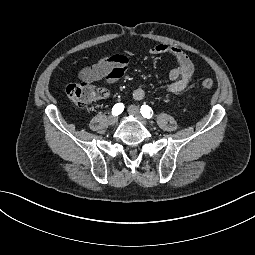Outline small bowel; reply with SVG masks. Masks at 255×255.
Here are the masks:
<instances>
[{"instance_id":"small-bowel-1","label":"small bowel","mask_w":255,"mask_h":255,"mask_svg":"<svg viewBox=\"0 0 255 255\" xmlns=\"http://www.w3.org/2000/svg\"><path fill=\"white\" fill-rule=\"evenodd\" d=\"M151 55L169 54L173 56L178 66L169 72L170 83L165 87L167 93L176 94L184 91L191 83L194 74V65L189 56L181 49L166 44H157L149 49ZM128 66V58L115 54L100 59L95 64L80 70L78 78L84 82L104 81L111 84L119 80ZM103 96L107 95L105 89L101 90ZM133 98L137 101L145 99L146 92L137 87L133 90Z\"/></svg>"}]
</instances>
